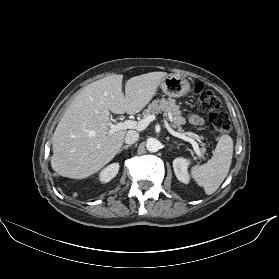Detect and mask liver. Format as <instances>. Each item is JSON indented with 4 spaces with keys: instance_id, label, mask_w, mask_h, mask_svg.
Returning a JSON list of instances; mask_svg holds the SVG:
<instances>
[{
    "instance_id": "6515ba94",
    "label": "liver",
    "mask_w": 279,
    "mask_h": 279,
    "mask_svg": "<svg viewBox=\"0 0 279 279\" xmlns=\"http://www.w3.org/2000/svg\"><path fill=\"white\" fill-rule=\"evenodd\" d=\"M166 72L130 78L122 92L123 75L89 84L71 103L53 137L52 169L60 176L84 179L102 169L121 148L126 130L109 133L110 111L136 114L154 97Z\"/></svg>"
}]
</instances>
